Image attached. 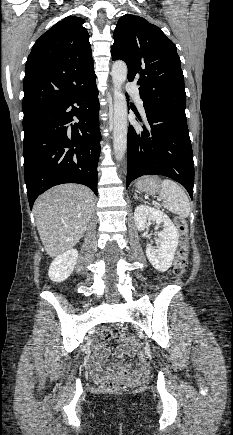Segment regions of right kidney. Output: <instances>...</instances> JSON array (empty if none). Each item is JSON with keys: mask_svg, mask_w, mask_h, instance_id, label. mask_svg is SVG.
I'll return each instance as SVG.
<instances>
[{"mask_svg": "<svg viewBox=\"0 0 233 435\" xmlns=\"http://www.w3.org/2000/svg\"><path fill=\"white\" fill-rule=\"evenodd\" d=\"M77 259L78 251L76 249H70L56 257L49 267V278L54 282L66 280L72 274Z\"/></svg>", "mask_w": 233, "mask_h": 435, "instance_id": "ca27d5eb", "label": "right kidney"}]
</instances>
